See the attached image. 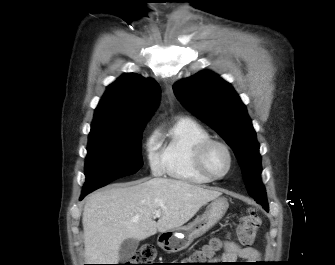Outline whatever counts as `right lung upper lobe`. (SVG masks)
<instances>
[{
    "label": "right lung upper lobe",
    "mask_w": 335,
    "mask_h": 265,
    "mask_svg": "<svg viewBox=\"0 0 335 265\" xmlns=\"http://www.w3.org/2000/svg\"><path fill=\"white\" fill-rule=\"evenodd\" d=\"M160 99V86L134 73L122 75L109 85L94 114L91 132H123L146 124Z\"/></svg>",
    "instance_id": "obj_1"
}]
</instances>
